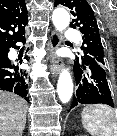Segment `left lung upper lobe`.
I'll return each mask as SVG.
<instances>
[{"label": "left lung upper lobe", "instance_id": "obj_1", "mask_svg": "<svg viewBox=\"0 0 117 136\" xmlns=\"http://www.w3.org/2000/svg\"><path fill=\"white\" fill-rule=\"evenodd\" d=\"M55 6L64 5L71 9L75 17L70 23L72 28L79 27L83 34L84 57L94 58L97 63L104 67V51L101 42L98 25L94 12L86 0H55Z\"/></svg>", "mask_w": 117, "mask_h": 136}]
</instances>
